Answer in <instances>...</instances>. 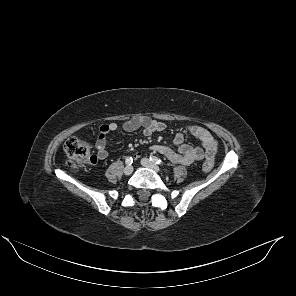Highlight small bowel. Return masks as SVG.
<instances>
[{
  "label": "small bowel",
  "mask_w": 296,
  "mask_h": 296,
  "mask_svg": "<svg viewBox=\"0 0 296 296\" xmlns=\"http://www.w3.org/2000/svg\"><path fill=\"white\" fill-rule=\"evenodd\" d=\"M166 125L150 116H138L126 120L121 126L115 122L103 124L98 133V138L95 143L98 158L104 160L108 157V150L106 147L107 136L119 130L124 132H134L142 130L146 136L152 135L156 132H161ZM190 134L196 137L201 142V147H192L184 143L185 136ZM174 148L167 145H154L152 150L165 156L169 161L176 164H191L200 161L203 158L213 159L217 151V142L213 135L202 126H189L186 132H179L175 135L173 140Z\"/></svg>",
  "instance_id": "small-bowel-1"
}]
</instances>
